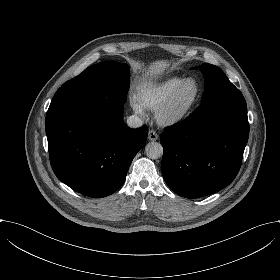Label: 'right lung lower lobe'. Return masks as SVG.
I'll use <instances>...</instances> for the list:
<instances>
[{
	"instance_id": "right-lung-lower-lobe-1",
	"label": "right lung lower lobe",
	"mask_w": 280,
	"mask_h": 280,
	"mask_svg": "<svg viewBox=\"0 0 280 280\" xmlns=\"http://www.w3.org/2000/svg\"><path fill=\"white\" fill-rule=\"evenodd\" d=\"M147 132L146 125H125L123 104L88 90L58 89L46 114L55 175L92 198L106 197L122 186Z\"/></svg>"
}]
</instances>
